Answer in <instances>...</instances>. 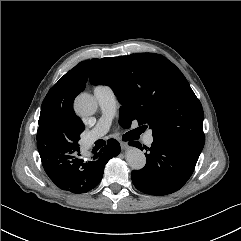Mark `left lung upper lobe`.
Masks as SVG:
<instances>
[{"label": "left lung upper lobe", "instance_id": "5c2ea615", "mask_svg": "<svg viewBox=\"0 0 241 241\" xmlns=\"http://www.w3.org/2000/svg\"><path fill=\"white\" fill-rule=\"evenodd\" d=\"M90 83L113 89L122 104V126H130L136 119L141 127L153 130V137L203 149L202 105L182 72L162 55L136 53L102 58Z\"/></svg>", "mask_w": 241, "mask_h": 241}]
</instances>
